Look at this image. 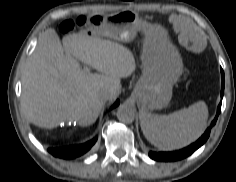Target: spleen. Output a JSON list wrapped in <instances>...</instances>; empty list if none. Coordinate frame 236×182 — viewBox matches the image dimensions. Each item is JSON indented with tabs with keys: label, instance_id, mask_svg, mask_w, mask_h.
Returning a JSON list of instances; mask_svg holds the SVG:
<instances>
[{
	"label": "spleen",
	"instance_id": "3e777b00",
	"mask_svg": "<svg viewBox=\"0 0 236 182\" xmlns=\"http://www.w3.org/2000/svg\"><path fill=\"white\" fill-rule=\"evenodd\" d=\"M208 109L203 101L169 115H154L140 111L141 129L146 139L162 150L183 148L203 133Z\"/></svg>",
	"mask_w": 236,
	"mask_h": 182
}]
</instances>
